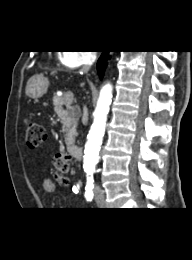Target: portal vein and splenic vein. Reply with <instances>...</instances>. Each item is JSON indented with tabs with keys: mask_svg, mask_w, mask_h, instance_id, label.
<instances>
[{
	"mask_svg": "<svg viewBox=\"0 0 192 260\" xmlns=\"http://www.w3.org/2000/svg\"><path fill=\"white\" fill-rule=\"evenodd\" d=\"M73 93L71 91H68L64 94V98H65V101L68 103V104H71L72 101H73Z\"/></svg>",
	"mask_w": 192,
	"mask_h": 260,
	"instance_id": "portal-vein-and-splenic-vein-1",
	"label": "portal vein and splenic vein"
}]
</instances>
